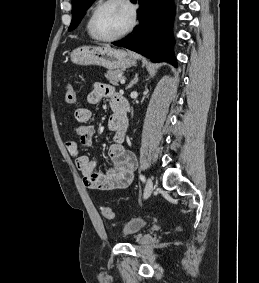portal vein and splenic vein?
I'll use <instances>...</instances> for the list:
<instances>
[{
    "mask_svg": "<svg viewBox=\"0 0 259 283\" xmlns=\"http://www.w3.org/2000/svg\"><path fill=\"white\" fill-rule=\"evenodd\" d=\"M120 83H121V84H124V83H125V77H122V78H121Z\"/></svg>",
    "mask_w": 259,
    "mask_h": 283,
    "instance_id": "1",
    "label": "portal vein and splenic vein"
}]
</instances>
